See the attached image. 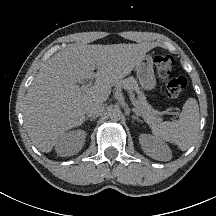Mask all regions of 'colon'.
I'll list each match as a JSON object with an SVG mask.
<instances>
[{"label": "colon", "mask_w": 216, "mask_h": 216, "mask_svg": "<svg viewBox=\"0 0 216 216\" xmlns=\"http://www.w3.org/2000/svg\"><path fill=\"white\" fill-rule=\"evenodd\" d=\"M175 65L174 58L169 55H159L155 58L156 70L165 82L166 93L171 98L179 97L186 87L185 78L174 73Z\"/></svg>", "instance_id": "1"}]
</instances>
